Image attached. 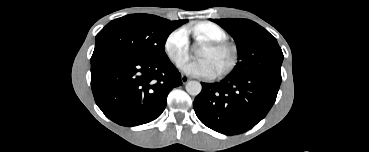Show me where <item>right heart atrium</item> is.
<instances>
[{
	"label": "right heart atrium",
	"mask_w": 369,
	"mask_h": 152,
	"mask_svg": "<svg viewBox=\"0 0 369 152\" xmlns=\"http://www.w3.org/2000/svg\"><path fill=\"white\" fill-rule=\"evenodd\" d=\"M164 50L174 65L179 66L185 61L189 55V38L186 29L173 30L165 40Z\"/></svg>",
	"instance_id": "right-heart-atrium-1"
}]
</instances>
